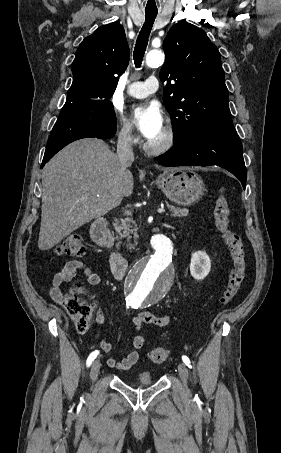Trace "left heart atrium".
<instances>
[{
	"label": "left heart atrium",
	"instance_id": "obj_1",
	"mask_svg": "<svg viewBox=\"0 0 281 453\" xmlns=\"http://www.w3.org/2000/svg\"><path fill=\"white\" fill-rule=\"evenodd\" d=\"M133 119L141 134L147 139L164 126L163 111L156 102H148L135 108Z\"/></svg>",
	"mask_w": 281,
	"mask_h": 453
}]
</instances>
